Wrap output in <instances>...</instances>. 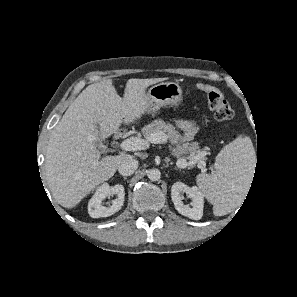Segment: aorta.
Segmentation results:
<instances>
[{"instance_id":"obj_1","label":"aorta","mask_w":297,"mask_h":297,"mask_svg":"<svg viewBox=\"0 0 297 297\" xmlns=\"http://www.w3.org/2000/svg\"><path fill=\"white\" fill-rule=\"evenodd\" d=\"M161 177V172L159 169H150L148 171V178L151 181H158Z\"/></svg>"}]
</instances>
